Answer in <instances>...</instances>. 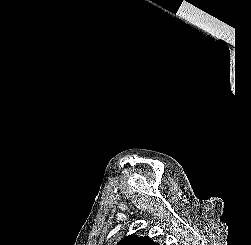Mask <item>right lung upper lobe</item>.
I'll return each mask as SVG.
<instances>
[{
	"instance_id": "cb5924a9",
	"label": "right lung upper lobe",
	"mask_w": 251,
	"mask_h": 245,
	"mask_svg": "<svg viewBox=\"0 0 251 245\" xmlns=\"http://www.w3.org/2000/svg\"><path fill=\"white\" fill-rule=\"evenodd\" d=\"M117 245H159L152 241L149 237L138 236H126L123 240L117 243Z\"/></svg>"
}]
</instances>
